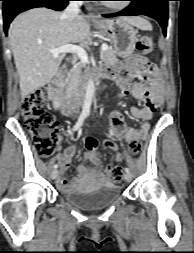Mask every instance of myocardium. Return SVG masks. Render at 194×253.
Wrapping results in <instances>:
<instances>
[{"label": "myocardium", "mask_w": 194, "mask_h": 253, "mask_svg": "<svg viewBox=\"0 0 194 253\" xmlns=\"http://www.w3.org/2000/svg\"><path fill=\"white\" fill-rule=\"evenodd\" d=\"M105 6L111 10H115V11H122L125 8L128 7V1L127 0H123L120 2H111V3H106Z\"/></svg>", "instance_id": "1"}]
</instances>
